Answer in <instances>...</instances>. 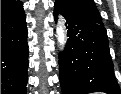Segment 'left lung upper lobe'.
<instances>
[{
    "label": "left lung upper lobe",
    "instance_id": "1",
    "mask_svg": "<svg viewBox=\"0 0 121 94\" xmlns=\"http://www.w3.org/2000/svg\"><path fill=\"white\" fill-rule=\"evenodd\" d=\"M66 12L97 24H101V16L93 0H56Z\"/></svg>",
    "mask_w": 121,
    "mask_h": 94
}]
</instances>
